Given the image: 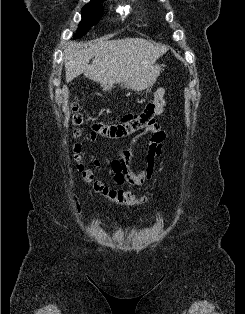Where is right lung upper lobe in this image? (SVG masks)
<instances>
[{"label": "right lung upper lobe", "instance_id": "obj_1", "mask_svg": "<svg viewBox=\"0 0 245 314\" xmlns=\"http://www.w3.org/2000/svg\"><path fill=\"white\" fill-rule=\"evenodd\" d=\"M91 1H104V0H91Z\"/></svg>", "mask_w": 245, "mask_h": 314}]
</instances>
